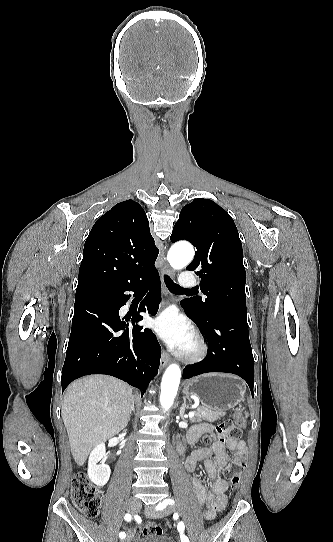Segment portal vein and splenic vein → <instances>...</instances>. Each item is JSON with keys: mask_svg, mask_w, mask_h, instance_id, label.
<instances>
[{"mask_svg": "<svg viewBox=\"0 0 333 542\" xmlns=\"http://www.w3.org/2000/svg\"><path fill=\"white\" fill-rule=\"evenodd\" d=\"M188 416H189V418H194L195 412H189Z\"/></svg>", "mask_w": 333, "mask_h": 542, "instance_id": "portal-vein-and-splenic-vein-1", "label": "portal vein and splenic vein"}]
</instances>
